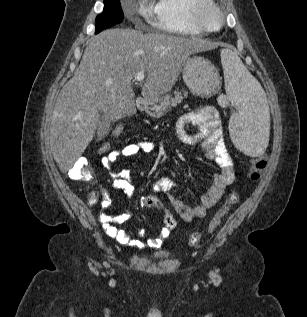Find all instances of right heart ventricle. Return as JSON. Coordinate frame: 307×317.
<instances>
[{
	"label": "right heart ventricle",
	"mask_w": 307,
	"mask_h": 317,
	"mask_svg": "<svg viewBox=\"0 0 307 317\" xmlns=\"http://www.w3.org/2000/svg\"><path fill=\"white\" fill-rule=\"evenodd\" d=\"M152 15L156 29L182 35H203L193 21L192 7L199 0H154Z\"/></svg>",
	"instance_id": "e07e8e85"
}]
</instances>
